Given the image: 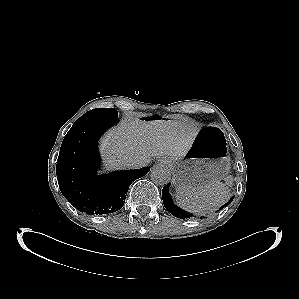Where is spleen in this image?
I'll return each mask as SVG.
<instances>
[{
  "instance_id": "3e777b00",
  "label": "spleen",
  "mask_w": 299,
  "mask_h": 299,
  "mask_svg": "<svg viewBox=\"0 0 299 299\" xmlns=\"http://www.w3.org/2000/svg\"><path fill=\"white\" fill-rule=\"evenodd\" d=\"M232 184L233 178L228 176L226 183L216 181L200 188L178 186L176 202L182 209L196 214L213 211L228 201Z\"/></svg>"
}]
</instances>
